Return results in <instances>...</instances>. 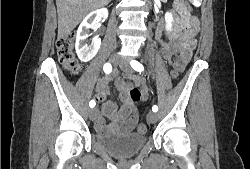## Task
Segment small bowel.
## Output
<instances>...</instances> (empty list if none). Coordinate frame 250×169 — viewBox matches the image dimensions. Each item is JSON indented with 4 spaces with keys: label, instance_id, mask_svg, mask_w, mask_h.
Listing matches in <instances>:
<instances>
[{
    "label": "small bowel",
    "instance_id": "1",
    "mask_svg": "<svg viewBox=\"0 0 250 169\" xmlns=\"http://www.w3.org/2000/svg\"><path fill=\"white\" fill-rule=\"evenodd\" d=\"M188 29L175 42L165 44L162 47V58L166 63H171V58L175 56L173 67H180V72L184 70L188 64L192 52L195 48L196 41L193 39L198 30V21L195 18L187 19ZM115 83L119 99L122 103L117 110L114 103L109 100L111 91L109 84ZM137 87L141 93L140 100H146L149 97L150 87L148 82L137 74L129 73L126 80L122 79L117 73L101 77L96 86L95 100L98 104L106 105L111 115V123L106 125L103 117L97 118L95 129L99 133L107 130L117 131L121 133L131 132L139 123V115L136 102L130 98V91Z\"/></svg>",
    "mask_w": 250,
    "mask_h": 169
}]
</instances>
